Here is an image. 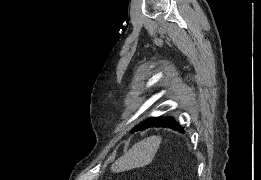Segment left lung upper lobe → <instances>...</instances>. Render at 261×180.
<instances>
[{
    "instance_id": "5c2ea615",
    "label": "left lung upper lobe",
    "mask_w": 261,
    "mask_h": 180,
    "mask_svg": "<svg viewBox=\"0 0 261 180\" xmlns=\"http://www.w3.org/2000/svg\"><path fill=\"white\" fill-rule=\"evenodd\" d=\"M157 120V118L155 117H152V118H149L148 120H146L145 122L137 125L136 127H134L131 132L134 133L136 131H141V130H144L145 128L149 127L151 124H153L155 121Z\"/></svg>"
}]
</instances>
